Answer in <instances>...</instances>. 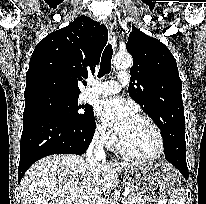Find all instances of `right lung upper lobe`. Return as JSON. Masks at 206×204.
<instances>
[{
    "label": "right lung upper lobe",
    "mask_w": 206,
    "mask_h": 204,
    "mask_svg": "<svg viewBox=\"0 0 206 204\" xmlns=\"http://www.w3.org/2000/svg\"><path fill=\"white\" fill-rule=\"evenodd\" d=\"M108 40L104 25L87 16L40 41L30 58L24 97L41 93L79 95L78 80L94 73Z\"/></svg>",
    "instance_id": "1"
}]
</instances>
